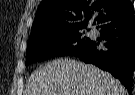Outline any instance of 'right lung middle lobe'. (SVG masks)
I'll return each mask as SVG.
<instances>
[{"mask_svg":"<svg viewBox=\"0 0 135 95\" xmlns=\"http://www.w3.org/2000/svg\"><path fill=\"white\" fill-rule=\"evenodd\" d=\"M90 41L83 37L79 30L32 34L26 51V65L53 57L73 55Z\"/></svg>","mask_w":135,"mask_h":95,"instance_id":"obj_1","label":"right lung middle lobe"}]
</instances>
